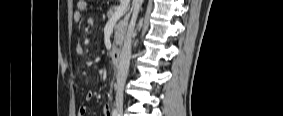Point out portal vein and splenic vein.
<instances>
[{
  "instance_id": "obj_1",
  "label": "portal vein and splenic vein",
  "mask_w": 283,
  "mask_h": 116,
  "mask_svg": "<svg viewBox=\"0 0 283 116\" xmlns=\"http://www.w3.org/2000/svg\"><path fill=\"white\" fill-rule=\"evenodd\" d=\"M128 1H122V4L116 9V11L114 12V14L112 15V20H118L120 17H122L128 8Z\"/></svg>"
}]
</instances>
